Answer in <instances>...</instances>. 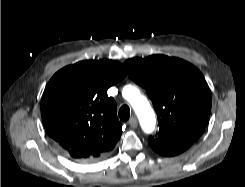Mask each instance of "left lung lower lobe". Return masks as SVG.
<instances>
[{"label":"left lung lower lobe","mask_w":245,"mask_h":187,"mask_svg":"<svg viewBox=\"0 0 245 187\" xmlns=\"http://www.w3.org/2000/svg\"><path fill=\"white\" fill-rule=\"evenodd\" d=\"M148 142L151 148L158 154L162 156L171 157L184 152L195 141L183 140V141H176V142H164L150 137Z\"/></svg>","instance_id":"0a47b994"}]
</instances>
